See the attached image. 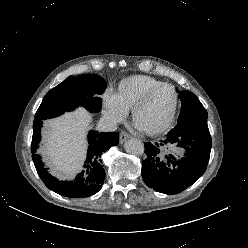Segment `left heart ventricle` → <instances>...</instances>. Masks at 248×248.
Here are the masks:
<instances>
[{"instance_id": "1", "label": "left heart ventricle", "mask_w": 248, "mask_h": 248, "mask_svg": "<svg viewBox=\"0 0 248 248\" xmlns=\"http://www.w3.org/2000/svg\"><path fill=\"white\" fill-rule=\"evenodd\" d=\"M174 103L171 88L159 89L150 99L146 107L139 113L136 125L141 129L152 130L162 126L168 119Z\"/></svg>"}]
</instances>
